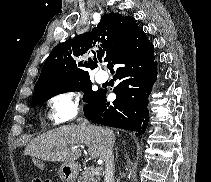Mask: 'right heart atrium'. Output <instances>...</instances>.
I'll list each match as a JSON object with an SVG mask.
<instances>
[{
	"label": "right heart atrium",
	"mask_w": 211,
	"mask_h": 182,
	"mask_svg": "<svg viewBox=\"0 0 211 182\" xmlns=\"http://www.w3.org/2000/svg\"><path fill=\"white\" fill-rule=\"evenodd\" d=\"M49 119L55 125L68 123L82 113L80 94L75 91H64L48 101Z\"/></svg>",
	"instance_id": "d8ad5b80"
}]
</instances>
